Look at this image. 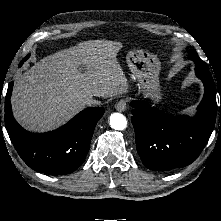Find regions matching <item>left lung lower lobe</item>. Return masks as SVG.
Here are the masks:
<instances>
[{
	"mask_svg": "<svg viewBox=\"0 0 221 221\" xmlns=\"http://www.w3.org/2000/svg\"><path fill=\"white\" fill-rule=\"evenodd\" d=\"M194 62L196 75L205 87L194 118L174 117L145 101L131 103L137 151L142 163L151 170L168 171L191 164L213 131L217 110L214 81L202 60Z\"/></svg>",
	"mask_w": 221,
	"mask_h": 221,
	"instance_id": "1",
	"label": "left lung lower lobe"
}]
</instances>
